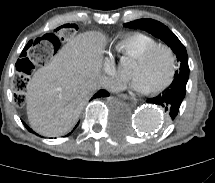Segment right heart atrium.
Listing matches in <instances>:
<instances>
[{"mask_svg": "<svg viewBox=\"0 0 215 183\" xmlns=\"http://www.w3.org/2000/svg\"><path fill=\"white\" fill-rule=\"evenodd\" d=\"M104 68L105 71L115 79L116 83H119L121 81V78L117 70L116 61L113 57H106L104 59ZM114 86L115 85H113V87Z\"/></svg>", "mask_w": 215, "mask_h": 183, "instance_id": "d8ad5b80", "label": "right heart atrium"}]
</instances>
